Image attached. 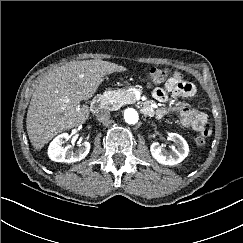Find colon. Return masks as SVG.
I'll list each match as a JSON object with an SVG mask.
<instances>
[{
    "instance_id": "colon-1",
    "label": "colon",
    "mask_w": 243,
    "mask_h": 243,
    "mask_svg": "<svg viewBox=\"0 0 243 243\" xmlns=\"http://www.w3.org/2000/svg\"><path fill=\"white\" fill-rule=\"evenodd\" d=\"M169 70L166 68H152L148 72L147 82L149 85H158L164 82L169 76ZM195 143L198 146H202L206 143V139L204 136L200 135L196 137Z\"/></svg>"
}]
</instances>
